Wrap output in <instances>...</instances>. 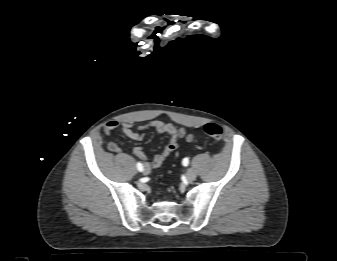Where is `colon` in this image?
<instances>
[{
  "label": "colon",
  "mask_w": 337,
  "mask_h": 261,
  "mask_svg": "<svg viewBox=\"0 0 337 261\" xmlns=\"http://www.w3.org/2000/svg\"><path fill=\"white\" fill-rule=\"evenodd\" d=\"M204 132L212 139L219 141L222 139V128L215 123H207L204 125Z\"/></svg>",
  "instance_id": "colon-1"
}]
</instances>
